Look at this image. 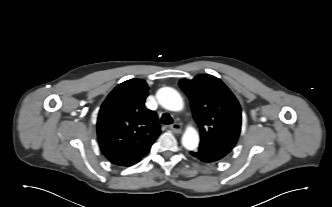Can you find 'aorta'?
Here are the masks:
<instances>
[{"instance_id": "aorta-1", "label": "aorta", "mask_w": 332, "mask_h": 207, "mask_svg": "<svg viewBox=\"0 0 332 207\" xmlns=\"http://www.w3.org/2000/svg\"><path fill=\"white\" fill-rule=\"evenodd\" d=\"M159 104L170 111H180L183 109V100L180 94L171 87H163L157 92ZM199 144V135L195 128L188 127L182 136V145L187 150H195Z\"/></svg>"}]
</instances>
